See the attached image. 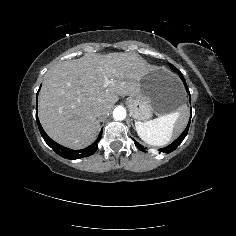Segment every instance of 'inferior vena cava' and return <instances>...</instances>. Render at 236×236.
<instances>
[{"instance_id":"1","label":"inferior vena cava","mask_w":236,"mask_h":236,"mask_svg":"<svg viewBox=\"0 0 236 236\" xmlns=\"http://www.w3.org/2000/svg\"><path fill=\"white\" fill-rule=\"evenodd\" d=\"M94 115H95V117H100L101 115H102V112H101V110L98 108V109H96V111L94 112Z\"/></svg>"}]
</instances>
